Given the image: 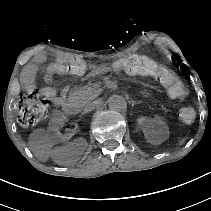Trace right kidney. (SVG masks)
I'll return each instance as SVG.
<instances>
[{
    "instance_id": "right-kidney-1",
    "label": "right kidney",
    "mask_w": 211,
    "mask_h": 211,
    "mask_svg": "<svg viewBox=\"0 0 211 211\" xmlns=\"http://www.w3.org/2000/svg\"><path fill=\"white\" fill-rule=\"evenodd\" d=\"M47 132L52 135L54 142H71L76 137V132L67 118L59 112H53L47 121Z\"/></svg>"
}]
</instances>
